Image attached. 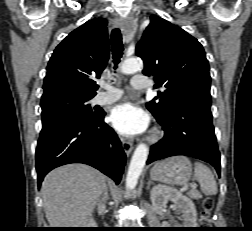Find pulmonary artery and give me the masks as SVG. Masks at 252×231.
<instances>
[{"mask_svg":"<svg viewBox=\"0 0 252 231\" xmlns=\"http://www.w3.org/2000/svg\"><path fill=\"white\" fill-rule=\"evenodd\" d=\"M131 85L136 89H143L149 86V82L146 77L142 74L135 75L131 80ZM101 87L105 88L106 91L99 92L94 97V103L99 105L111 104L121 98L123 91L119 88L106 86L101 83Z\"/></svg>","mask_w":252,"mask_h":231,"instance_id":"obj_1","label":"pulmonary artery"}]
</instances>
